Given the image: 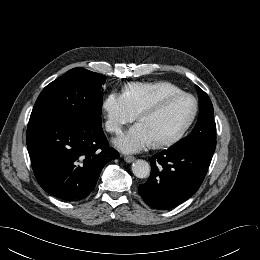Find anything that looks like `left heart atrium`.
I'll list each match as a JSON object with an SVG mask.
<instances>
[{"label": "left heart atrium", "instance_id": "39dd6f15", "mask_svg": "<svg viewBox=\"0 0 260 260\" xmlns=\"http://www.w3.org/2000/svg\"><path fill=\"white\" fill-rule=\"evenodd\" d=\"M154 142V139L140 122L114 141L118 148L128 153L139 152L150 147Z\"/></svg>", "mask_w": 260, "mask_h": 260}]
</instances>
